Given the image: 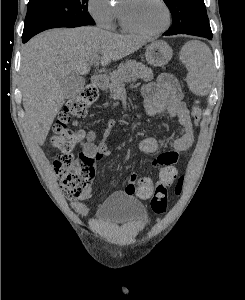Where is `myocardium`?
I'll return each mask as SVG.
<instances>
[{"mask_svg":"<svg viewBox=\"0 0 245 300\" xmlns=\"http://www.w3.org/2000/svg\"><path fill=\"white\" fill-rule=\"evenodd\" d=\"M159 2L161 3V5L163 6L165 13H166V23L163 27H161L160 29L157 30H145L140 28L139 26H137L136 24H134L127 16L126 11L124 9L123 6L120 7L119 10V17H120V22L121 25L123 26L124 29H126L127 31L136 33V34H140V35H144V36H157L163 32H165L171 24V10L167 4V2L165 0H159Z\"/></svg>","mask_w":245,"mask_h":300,"instance_id":"myocardium-1","label":"myocardium"}]
</instances>
